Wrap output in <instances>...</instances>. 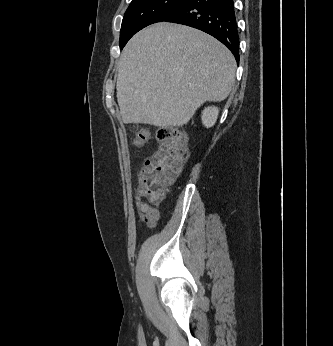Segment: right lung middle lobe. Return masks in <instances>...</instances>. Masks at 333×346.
<instances>
[{
	"label": "right lung middle lobe",
	"mask_w": 333,
	"mask_h": 346,
	"mask_svg": "<svg viewBox=\"0 0 333 346\" xmlns=\"http://www.w3.org/2000/svg\"><path fill=\"white\" fill-rule=\"evenodd\" d=\"M184 0H132L125 12L121 31L120 49L144 27L164 21Z\"/></svg>",
	"instance_id": "right-lung-middle-lobe-1"
}]
</instances>
